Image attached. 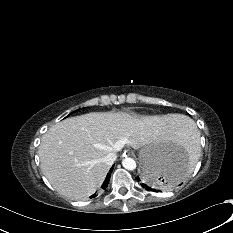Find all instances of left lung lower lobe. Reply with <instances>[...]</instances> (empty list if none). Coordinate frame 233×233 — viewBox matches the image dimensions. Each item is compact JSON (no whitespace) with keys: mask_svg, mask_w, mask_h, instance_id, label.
I'll return each mask as SVG.
<instances>
[{"mask_svg":"<svg viewBox=\"0 0 233 233\" xmlns=\"http://www.w3.org/2000/svg\"><path fill=\"white\" fill-rule=\"evenodd\" d=\"M181 173V160L177 157H170L150 162L141 177L138 176L136 179L141 182V186L146 190L157 192L158 189L179 182Z\"/></svg>","mask_w":233,"mask_h":233,"instance_id":"left-lung-lower-lobe-1","label":"left lung lower lobe"}]
</instances>
